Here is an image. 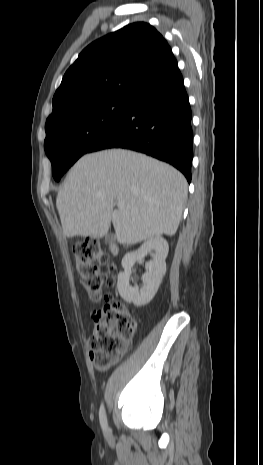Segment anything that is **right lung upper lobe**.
Here are the masks:
<instances>
[{"instance_id":"cb5924a9","label":"right lung upper lobe","mask_w":263,"mask_h":465,"mask_svg":"<svg viewBox=\"0 0 263 465\" xmlns=\"http://www.w3.org/2000/svg\"><path fill=\"white\" fill-rule=\"evenodd\" d=\"M176 68L170 46L153 26L145 22L127 25L79 54L53 97V112L46 122L93 101L131 98Z\"/></svg>"}]
</instances>
